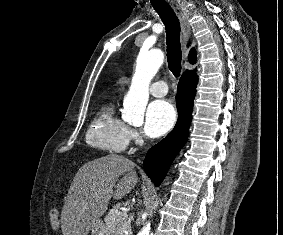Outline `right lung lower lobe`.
<instances>
[{
  "mask_svg": "<svg viewBox=\"0 0 283 235\" xmlns=\"http://www.w3.org/2000/svg\"><path fill=\"white\" fill-rule=\"evenodd\" d=\"M197 82L195 73L181 76L176 96L178 121L174 129L146 154L143 167L155 186L160 185L172 161L186 142Z\"/></svg>",
  "mask_w": 283,
  "mask_h": 235,
  "instance_id": "1",
  "label": "right lung lower lobe"
}]
</instances>
